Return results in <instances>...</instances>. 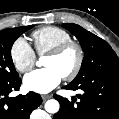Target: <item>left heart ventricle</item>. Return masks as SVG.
<instances>
[{"label":"left heart ventricle","instance_id":"1","mask_svg":"<svg viewBox=\"0 0 119 119\" xmlns=\"http://www.w3.org/2000/svg\"><path fill=\"white\" fill-rule=\"evenodd\" d=\"M77 60L75 50L70 49L61 56H46L43 65L56 69L62 76L70 72Z\"/></svg>","mask_w":119,"mask_h":119}]
</instances>
